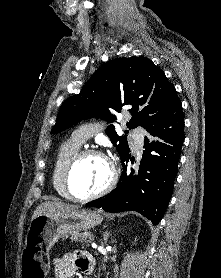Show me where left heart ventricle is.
<instances>
[{"label":"left heart ventricle","instance_id":"obj_1","mask_svg":"<svg viewBox=\"0 0 221 278\" xmlns=\"http://www.w3.org/2000/svg\"><path fill=\"white\" fill-rule=\"evenodd\" d=\"M110 171L104 159L87 156L72 171L70 184L75 194L86 196L102 189L109 180Z\"/></svg>","mask_w":221,"mask_h":278}]
</instances>
